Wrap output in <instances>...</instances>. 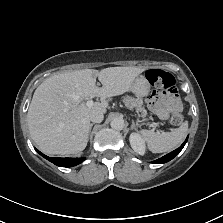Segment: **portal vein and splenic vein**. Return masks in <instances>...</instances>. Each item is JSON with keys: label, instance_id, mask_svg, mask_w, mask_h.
<instances>
[{"label": "portal vein and splenic vein", "instance_id": "18ae733b", "mask_svg": "<svg viewBox=\"0 0 223 223\" xmlns=\"http://www.w3.org/2000/svg\"><path fill=\"white\" fill-rule=\"evenodd\" d=\"M86 106L87 107H89V108H91L92 106H93V101H87L86 102ZM130 109V108H129ZM130 110H132V109H130ZM133 112V114H134V116H135V113H134V111H132ZM136 117V120H137V116H135ZM140 121V120H139ZM141 122V121H140ZM145 126H152V128H157V123H150V121H145Z\"/></svg>", "mask_w": 223, "mask_h": 223}]
</instances>
